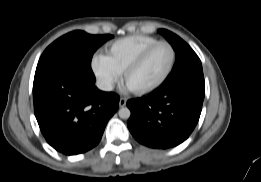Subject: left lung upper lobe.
I'll return each mask as SVG.
<instances>
[{
	"label": "left lung upper lobe",
	"mask_w": 261,
	"mask_h": 182,
	"mask_svg": "<svg viewBox=\"0 0 261 182\" xmlns=\"http://www.w3.org/2000/svg\"><path fill=\"white\" fill-rule=\"evenodd\" d=\"M158 32L168 40L176 52L174 67L160 88L167 89L185 80L203 77L201 61L192 48L168 30L159 29Z\"/></svg>",
	"instance_id": "5c2ea615"
}]
</instances>
